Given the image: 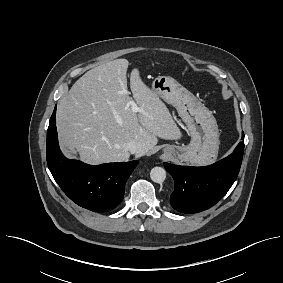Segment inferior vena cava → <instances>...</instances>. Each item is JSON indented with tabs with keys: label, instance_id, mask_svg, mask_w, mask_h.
<instances>
[{
	"label": "inferior vena cava",
	"instance_id": "inferior-vena-cava-1",
	"mask_svg": "<svg viewBox=\"0 0 283 283\" xmlns=\"http://www.w3.org/2000/svg\"><path fill=\"white\" fill-rule=\"evenodd\" d=\"M126 147L131 154H138L142 152L141 146L135 141H129Z\"/></svg>",
	"mask_w": 283,
	"mask_h": 283
}]
</instances>
